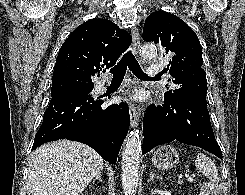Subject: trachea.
I'll return each mask as SVG.
<instances>
[{"mask_svg":"<svg viewBox=\"0 0 245 195\" xmlns=\"http://www.w3.org/2000/svg\"><path fill=\"white\" fill-rule=\"evenodd\" d=\"M127 67L139 79L147 80L151 78L141 69L133 53L128 51L124 54L119 63L110 69V73L113 74L112 80L123 81Z\"/></svg>","mask_w":245,"mask_h":195,"instance_id":"3493384b","label":"trachea"}]
</instances>
